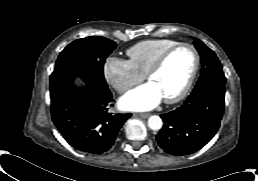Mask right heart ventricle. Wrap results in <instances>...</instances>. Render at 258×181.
Listing matches in <instances>:
<instances>
[{
	"label": "right heart ventricle",
	"instance_id": "1",
	"mask_svg": "<svg viewBox=\"0 0 258 181\" xmlns=\"http://www.w3.org/2000/svg\"><path fill=\"white\" fill-rule=\"evenodd\" d=\"M179 43L172 39H149L136 43L127 50L130 64L142 75H146L157 58L168 48Z\"/></svg>",
	"mask_w": 258,
	"mask_h": 181
}]
</instances>
